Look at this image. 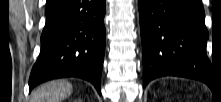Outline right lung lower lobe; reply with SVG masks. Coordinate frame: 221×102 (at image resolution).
<instances>
[{"mask_svg": "<svg viewBox=\"0 0 221 102\" xmlns=\"http://www.w3.org/2000/svg\"><path fill=\"white\" fill-rule=\"evenodd\" d=\"M105 11V0H55L47 5L30 91L48 80L78 77L91 82L101 95Z\"/></svg>", "mask_w": 221, "mask_h": 102, "instance_id": "right-lung-lower-lobe-1", "label": "right lung lower lobe"}]
</instances>
